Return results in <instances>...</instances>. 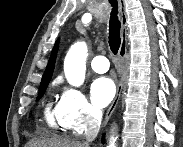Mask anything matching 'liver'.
<instances>
[{"mask_svg":"<svg viewBox=\"0 0 183 147\" xmlns=\"http://www.w3.org/2000/svg\"><path fill=\"white\" fill-rule=\"evenodd\" d=\"M26 147H88L87 144H83L77 141H71L68 139L60 138H38L29 141Z\"/></svg>","mask_w":183,"mask_h":147,"instance_id":"1","label":"liver"}]
</instances>
